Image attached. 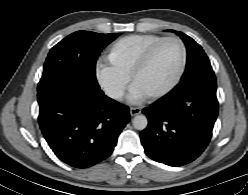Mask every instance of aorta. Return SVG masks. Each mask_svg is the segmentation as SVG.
Segmentation results:
<instances>
[{
	"label": "aorta",
	"mask_w": 248,
	"mask_h": 195,
	"mask_svg": "<svg viewBox=\"0 0 248 195\" xmlns=\"http://www.w3.org/2000/svg\"><path fill=\"white\" fill-rule=\"evenodd\" d=\"M132 124L137 130H144L148 125V120L144 115H137L133 118Z\"/></svg>",
	"instance_id": "1"
}]
</instances>
